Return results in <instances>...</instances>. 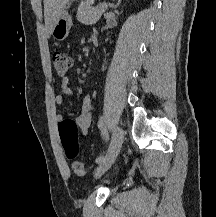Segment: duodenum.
<instances>
[{
  "instance_id": "duodenum-1",
  "label": "duodenum",
  "mask_w": 216,
  "mask_h": 217,
  "mask_svg": "<svg viewBox=\"0 0 216 217\" xmlns=\"http://www.w3.org/2000/svg\"><path fill=\"white\" fill-rule=\"evenodd\" d=\"M91 42H92L93 45H98L99 44V37L96 36V35H93L91 37Z\"/></svg>"
}]
</instances>
